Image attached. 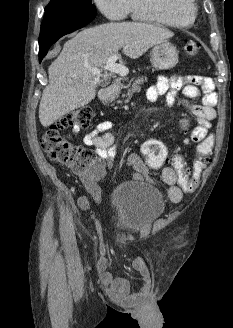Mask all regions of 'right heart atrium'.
Listing matches in <instances>:
<instances>
[{
	"label": "right heart atrium",
	"mask_w": 233,
	"mask_h": 328,
	"mask_svg": "<svg viewBox=\"0 0 233 328\" xmlns=\"http://www.w3.org/2000/svg\"><path fill=\"white\" fill-rule=\"evenodd\" d=\"M94 3L110 20H122L129 14L130 0H94Z\"/></svg>",
	"instance_id": "1"
}]
</instances>
